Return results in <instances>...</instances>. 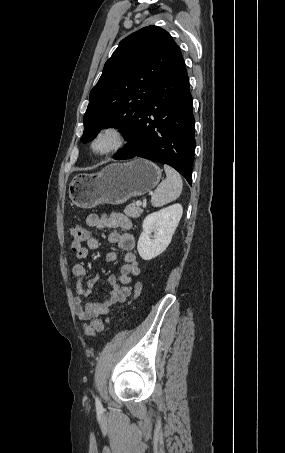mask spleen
Masks as SVG:
<instances>
[{
    "mask_svg": "<svg viewBox=\"0 0 285 453\" xmlns=\"http://www.w3.org/2000/svg\"><path fill=\"white\" fill-rule=\"evenodd\" d=\"M166 179L163 180L151 197V204L154 207H161L176 200L183 188L181 176L170 166L164 165Z\"/></svg>",
    "mask_w": 285,
    "mask_h": 453,
    "instance_id": "1",
    "label": "spleen"
}]
</instances>
